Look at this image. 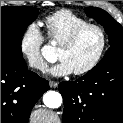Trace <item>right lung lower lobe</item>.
Wrapping results in <instances>:
<instances>
[{
	"label": "right lung lower lobe",
	"instance_id": "right-lung-lower-lobe-1",
	"mask_svg": "<svg viewBox=\"0 0 123 123\" xmlns=\"http://www.w3.org/2000/svg\"><path fill=\"white\" fill-rule=\"evenodd\" d=\"M48 88L47 80L27 69L23 57L1 51V123H28Z\"/></svg>",
	"mask_w": 123,
	"mask_h": 123
}]
</instances>
